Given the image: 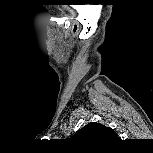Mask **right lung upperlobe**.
<instances>
[{"instance_id":"1","label":"right lung upper lobe","mask_w":153,"mask_h":153,"mask_svg":"<svg viewBox=\"0 0 153 153\" xmlns=\"http://www.w3.org/2000/svg\"><path fill=\"white\" fill-rule=\"evenodd\" d=\"M117 133L110 127L91 122L78 130L70 140L82 145L94 146L103 142L118 140Z\"/></svg>"}]
</instances>
